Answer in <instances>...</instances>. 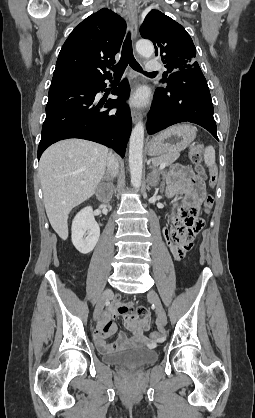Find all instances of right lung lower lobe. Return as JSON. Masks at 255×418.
Returning <instances> with one entry per match:
<instances>
[{
	"label": "right lung lower lobe",
	"mask_w": 255,
	"mask_h": 418,
	"mask_svg": "<svg viewBox=\"0 0 255 418\" xmlns=\"http://www.w3.org/2000/svg\"><path fill=\"white\" fill-rule=\"evenodd\" d=\"M106 79L111 78L50 87L38 159L51 144L67 138L98 142L124 157L131 133L130 110L127 106H121L117 111H111V108L127 99L129 84L124 79L112 92L118 96L117 100L97 102L95 96L105 89ZM103 105L108 109H101Z\"/></svg>",
	"instance_id": "right-lung-lower-lobe-1"
}]
</instances>
